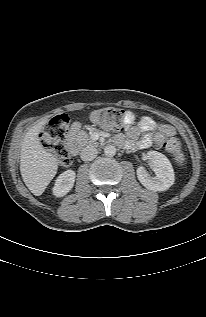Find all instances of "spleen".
Segmentation results:
<instances>
[{
  "label": "spleen",
  "instance_id": "spleen-1",
  "mask_svg": "<svg viewBox=\"0 0 206 317\" xmlns=\"http://www.w3.org/2000/svg\"><path fill=\"white\" fill-rule=\"evenodd\" d=\"M177 155H178V158L181 156V154H179V153H178ZM177 160H178V159H177Z\"/></svg>",
  "mask_w": 206,
  "mask_h": 317
}]
</instances>
